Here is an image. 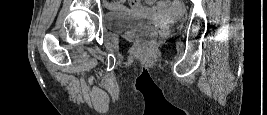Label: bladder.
<instances>
[{"label":"bladder","mask_w":267,"mask_h":115,"mask_svg":"<svg viewBox=\"0 0 267 115\" xmlns=\"http://www.w3.org/2000/svg\"><path fill=\"white\" fill-rule=\"evenodd\" d=\"M148 19L143 15L108 13L105 15V25L112 31H126L140 27Z\"/></svg>","instance_id":"bladder-1"}]
</instances>
